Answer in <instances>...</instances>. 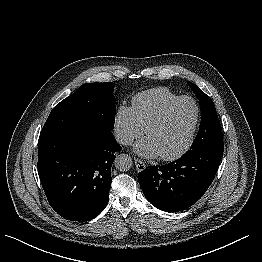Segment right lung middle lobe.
Segmentation results:
<instances>
[{
	"label": "right lung middle lobe",
	"mask_w": 262,
	"mask_h": 262,
	"mask_svg": "<svg viewBox=\"0 0 262 262\" xmlns=\"http://www.w3.org/2000/svg\"><path fill=\"white\" fill-rule=\"evenodd\" d=\"M113 87L112 82L81 85L52 109L43 131L79 128L111 131L116 114Z\"/></svg>",
	"instance_id": "dd1d6c3e"
}]
</instances>
